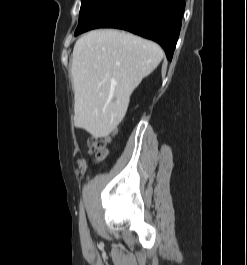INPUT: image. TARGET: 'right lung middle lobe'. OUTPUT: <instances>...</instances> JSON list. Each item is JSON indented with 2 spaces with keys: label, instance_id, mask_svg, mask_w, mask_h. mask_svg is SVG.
<instances>
[{
  "label": "right lung middle lobe",
  "instance_id": "1",
  "mask_svg": "<svg viewBox=\"0 0 247 265\" xmlns=\"http://www.w3.org/2000/svg\"><path fill=\"white\" fill-rule=\"evenodd\" d=\"M99 0H82L79 13V22L88 14V12L94 7Z\"/></svg>",
  "mask_w": 247,
  "mask_h": 265
}]
</instances>
